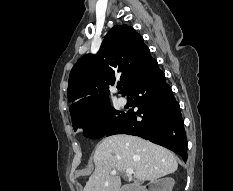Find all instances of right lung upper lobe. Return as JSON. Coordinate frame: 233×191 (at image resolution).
Wrapping results in <instances>:
<instances>
[{"label":"right lung upper lobe","instance_id":"1","mask_svg":"<svg viewBox=\"0 0 233 191\" xmlns=\"http://www.w3.org/2000/svg\"><path fill=\"white\" fill-rule=\"evenodd\" d=\"M148 47L131 26L116 25L105 36L98 54L84 55L70 72L71 117L109 102V86L119 78L123 95L150 58Z\"/></svg>","mask_w":233,"mask_h":191}]
</instances>
